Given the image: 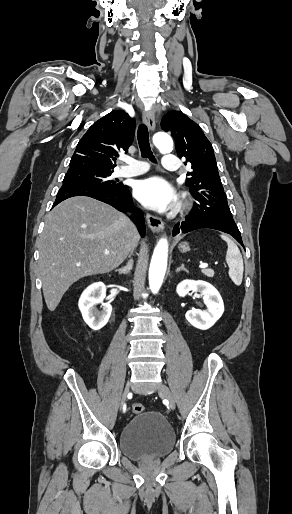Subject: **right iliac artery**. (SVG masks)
Listing matches in <instances>:
<instances>
[{
  "instance_id": "obj_1",
  "label": "right iliac artery",
  "mask_w": 292,
  "mask_h": 514,
  "mask_svg": "<svg viewBox=\"0 0 292 514\" xmlns=\"http://www.w3.org/2000/svg\"><path fill=\"white\" fill-rule=\"evenodd\" d=\"M125 410H126V405L123 406V411H125Z\"/></svg>"
}]
</instances>
